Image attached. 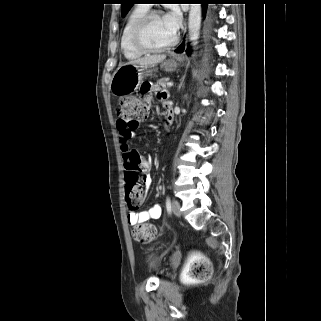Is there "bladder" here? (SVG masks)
Returning a JSON list of instances; mask_svg holds the SVG:
<instances>
[{
	"label": "bladder",
	"mask_w": 321,
	"mask_h": 321,
	"mask_svg": "<svg viewBox=\"0 0 321 321\" xmlns=\"http://www.w3.org/2000/svg\"><path fill=\"white\" fill-rule=\"evenodd\" d=\"M146 264H147V267L153 271L157 270L158 266H159L158 259L155 256H153L152 254H148L146 256Z\"/></svg>",
	"instance_id": "31cf9c89"
}]
</instances>
